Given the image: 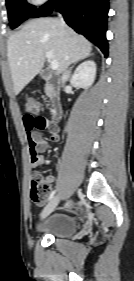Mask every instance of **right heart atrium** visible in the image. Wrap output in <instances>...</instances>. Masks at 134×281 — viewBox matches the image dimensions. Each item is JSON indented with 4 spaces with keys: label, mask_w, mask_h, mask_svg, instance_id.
I'll use <instances>...</instances> for the list:
<instances>
[{
    "label": "right heart atrium",
    "mask_w": 134,
    "mask_h": 281,
    "mask_svg": "<svg viewBox=\"0 0 134 281\" xmlns=\"http://www.w3.org/2000/svg\"><path fill=\"white\" fill-rule=\"evenodd\" d=\"M35 6H43L47 4L50 0H29Z\"/></svg>",
    "instance_id": "d8ad5b80"
}]
</instances>
